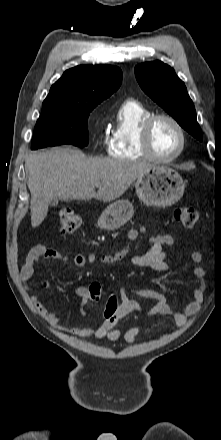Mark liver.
<instances>
[{
    "label": "liver",
    "mask_w": 221,
    "mask_h": 440,
    "mask_svg": "<svg viewBox=\"0 0 221 440\" xmlns=\"http://www.w3.org/2000/svg\"><path fill=\"white\" fill-rule=\"evenodd\" d=\"M152 167L154 165L141 161L90 158L81 150L69 147L29 154L25 168L31 193L32 227L43 222L53 200L95 198L110 202L122 196Z\"/></svg>",
    "instance_id": "obj_1"
}]
</instances>
